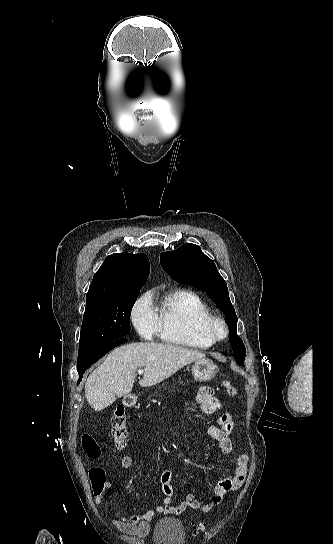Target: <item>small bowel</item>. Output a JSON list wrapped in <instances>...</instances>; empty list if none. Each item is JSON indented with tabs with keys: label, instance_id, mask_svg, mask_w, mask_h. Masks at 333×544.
Returning <instances> with one entry per match:
<instances>
[{
	"label": "small bowel",
	"instance_id": "obj_1",
	"mask_svg": "<svg viewBox=\"0 0 333 544\" xmlns=\"http://www.w3.org/2000/svg\"><path fill=\"white\" fill-rule=\"evenodd\" d=\"M195 413H188L189 418L200 415H213L222 410L221 402L216 398L215 392L209 387H200L196 398ZM234 423L232 416L229 413H224L219 418L218 426H210L207 434L212 441L216 443L223 454H230L235 451L231 434ZM120 466L124 470H129L133 466V459L129 455H124L120 460ZM248 456L244 453H239L236 459V466L233 474L227 476L217 482L213 488V495L205 502L200 501L194 494H188L180 503L174 505V489L172 486V472L164 470L160 476L162 492L164 494L162 505L156 506L154 509L145 510L141 514L124 516L113 505H108V511L117 516L113 520V524L123 533L144 537L147 535L150 522L156 514L162 515H179L187 508H191L199 513H207L215 506L219 505L224 496L241 487L247 477ZM111 489V484L106 482L102 490L94 492V501L97 505L101 504L105 495Z\"/></svg>",
	"mask_w": 333,
	"mask_h": 544
}]
</instances>
